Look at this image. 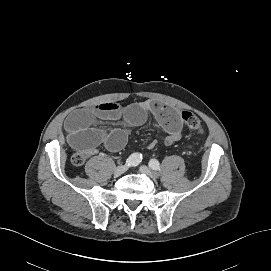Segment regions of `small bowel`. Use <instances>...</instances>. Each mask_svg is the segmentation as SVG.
Returning <instances> with one entry per match:
<instances>
[{
  "label": "small bowel",
  "mask_w": 271,
  "mask_h": 271,
  "mask_svg": "<svg viewBox=\"0 0 271 271\" xmlns=\"http://www.w3.org/2000/svg\"><path fill=\"white\" fill-rule=\"evenodd\" d=\"M148 113L155 116L157 124L168 134L166 144L170 145L178 139L183 121L179 113L158 102H143L126 108L115 103H102L93 109L73 112L65 121L68 141L87 154L96 152L100 145L109 151H118L126 144L129 131L122 128L104 130L94 127V124L99 120H113L139 126L146 121Z\"/></svg>",
  "instance_id": "1"
}]
</instances>
